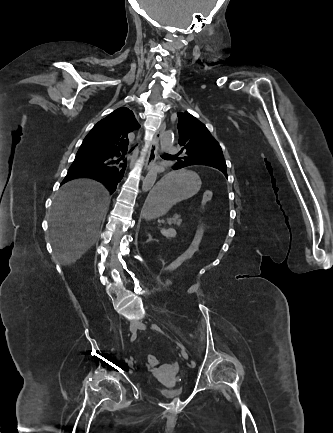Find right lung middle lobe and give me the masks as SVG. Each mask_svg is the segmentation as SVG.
<instances>
[{
	"mask_svg": "<svg viewBox=\"0 0 333 433\" xmlns=\"http://www.w3.org/2000/svg\"><path fill=\"white\" fill-rule=\"evenodd\" d=\"M78 153H92V154H102L99 151L95 150L94 148H84V147H80V149L78 150Z\"/></svg>",
	"mask_w": 333,
	"mask_h": 433,
	"instance_id": "obj_1",
	"label": "right lung middle lobe"
}]
</instances>
